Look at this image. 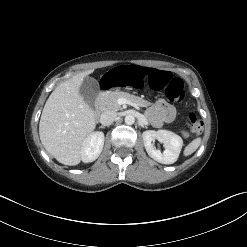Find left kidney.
Returning a JSON list of instances; mask_svg holds the SVG:
<instances>
[{"instance_id":"1","label":"left kidney","mask_w":247,"mask_h":247,"mask_svg":"<svg viewBox=\"0 0 247 247\" xmlns=\"http://www.w3.org/2000/svg\"><path fill=\"white\" fill-rule=\"evenodd\" d=\"M148 155L162 164H172L177 161L183 146V140L177 134L167 130H147L142 134ZM158 140L164 144L165 150H156L153 142Z\"/></svg>"}]
</instances>
